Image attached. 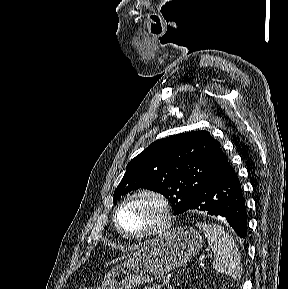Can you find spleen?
Returning <instances> with one entry per match:
<instances>
[{"label":"spleen","instance_id":"spleen-1","mask_svg":"<svg viewBox=\"0 0 288 289\" xmlns=\"http://www.w3.org/2000/svg\"><path fill=\"white\" fill-rule=\"evenodd\" d=\"M214 253L213 268L234 280L242 276L241 255L232 237L219 224H197Z\"/></svg>","mask_w":288,"mask_h":289}]
</instances>
